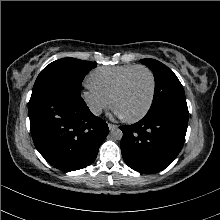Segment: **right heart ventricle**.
Segmentation results:
<instances>
[{
    "mask_svg": "<svg viewBox=\"0 0 220 220\" xmlns=\"http://www.w3.org/2000/svg\"><path fill=\"white\" fill-rule=\"evenodd\" d=\"M137 65H119L99 67L93 70L88 78L87 83L90 87L99 91L108 98H111L112 93L118 86L122 78Z\"/></svg>",
    "mask_w": 220,
    "mask_h": 220,
    "instance_id": "1",
    "label": "right heart ventricle"
}]
</instances>
